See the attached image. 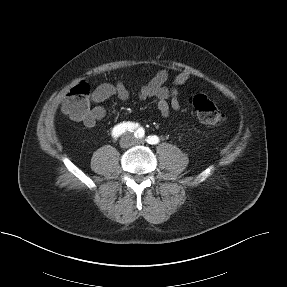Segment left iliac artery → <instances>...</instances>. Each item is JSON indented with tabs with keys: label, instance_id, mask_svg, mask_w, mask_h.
Here are the masks:
<instances>
[{
	"label": "left iliac artery",
	"instance_id": "left-iliac-artery-1",
	"mask_svg": "<svg viewBox=\"0 0 287 287\" xmlns=\"http://www.w3.org/2000/svg\"><path fill=\"white\" fill-rule=\"evenodd\" d=\"M146 141L151 145H155L159 143V137H157L156 135L148 136Z\"/></svg>",
	"mask_w": 287,
	"mask_h": 287
}]
</instances>
